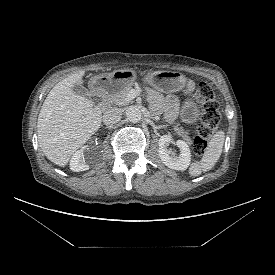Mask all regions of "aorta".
Segmentation results:
<instances>
[{
    "instance_id": "obj_1",
    "label": "aorta",
    "mask_w": 275,
    "mask_h": 275,
    "mask_svg": "<svg viewBox=\"0 0 275 275\" xmlns=\"http://www.w3.org/2000/svg\"><path fill=\"white\" fill-rule=\"evenodd\" d=\"M126 117L129 121L137 123L142 119L141 110L136 106H129L126 109Z\"/></svg>"
}]
</instances>
